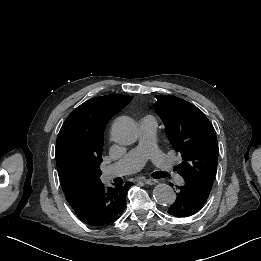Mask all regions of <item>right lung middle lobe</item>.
Masks as SVG:
<instances>
[{"label": "right lung middle lobe", "mask_w": 261, "mask_h": 261, "mask_svg": "<svg viewBox=\"0 0 261 261\" xmlns=\"http://www.w3.org/2000/svg\"><path fill=\"white\" fill-rule=\"evenodd\" d=\"M101 153L68 149L60 160L58 174L66 197H82L101 183Z\"/></svg>", "instance_id": "dd1d6c3e"}]
</instances>
